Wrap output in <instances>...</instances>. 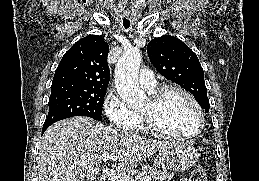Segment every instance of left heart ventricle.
<instances>
[{"mask_svg":"<svg viewBox=\"0 0 259 181\" xmlns=\"http://www.w3.org/2000/svg\"><path fill=\"white\" fill-rule=\"evenodd\" d=\"M150 108L149 99L141 111ZM156 124L168 131L186 134L195 131L199 124V117L193 104L182 94L171 92L155 109Z\"/></svg>","mask_w":259,"mask_h":181,"instance_id":"b2bd125f","label":"left heart ventricle"}]
</instances>
